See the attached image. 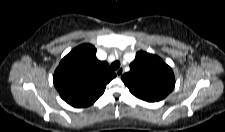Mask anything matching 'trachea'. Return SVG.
Here are the masks:
<instances>
[{
    "mask_svg": "<svg viewBox=\"0 0 225 132\" xmlns=\"http://www.w3.org/2000/svg\"><path fill=\"white\" fill-rule=\"evenodd\" d=\"M119 67H120V62H119V61H114V62L111 64V69H112V70H117Z\"/></svg>",
    "mask_w": 225,
    "mask_h": 132,
    "instance_id": "obj_1",
    "label": "trachea"
}]
</instances>
